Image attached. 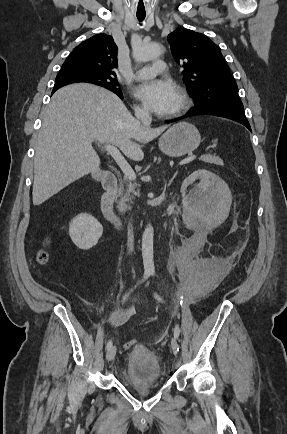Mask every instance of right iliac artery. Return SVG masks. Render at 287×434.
<instances>
[{
	"instance_id": "right-iliac-artery-1",
	"label": "right iliac artery",
	"mask_w": 287,
	"mask_h": 434,
	"mask_svg": "<svg viewBox=\"0 0 287 434\" xmlns=\"http://www.w3.org/2000/svg\"><path fill=\"white\" fill-rule=\"evenodd\" d=\"M149 273H145L143 276V279L140 282H143L144 280H146L149 277ZM129 295V292H127L124 296H123V302L126 301L127 297ZM112 347V341H109L106 345V349L109 350Z\"/></svg>"
}]
</instances>
